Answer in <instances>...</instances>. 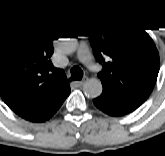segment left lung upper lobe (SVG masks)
Here are the masks:
<instances>
[{"mask_svg":"<svg viewBox=\"0 0 165 156\" xmlns=\"http://www.w3.org/2000/svg\"><path fill=\"white\" fill-rule=\"evenodd\" d=\"M99 63L103 89L138 108L151 94L160 60L150 36L138 26L120 20H97L87 30Z\"/></svg>","mask_w":165,"mask_h":156,"instance_id":"5c2ea615","label":"left lung upper lobe"}]
</instances>
